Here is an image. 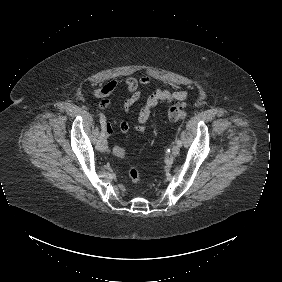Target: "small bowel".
<instances>
[{
  "label": "small bowel",
  "mask_w": 282,
  "mask_h": 282,
  "mask_svg": "<svg viewBox=\"0 0 282 282\" xmlns=\"http://www.w3.org/2000/svg\"><path fill=\"white\" fill-rule=\"evenodd\" d=\"M151 76L141 75L138 77H127L124 79H112L101 88L94 90L92 95L100 99V109H107L111 106L108 97L121 84H123L128 92L129 97L123 102V111L129 113L135 103L139 100L144 86L150 84ZM187 97L185 91L172 90L168 88L159 87L155 89L145 100L137 114V122L134 124V129L138 132L146 130V122L148 121L152 110L160 103H173V105H180ZM114 127H118L122 134H127L130 130V124L125 120H112L104 125V131L107 134L112 133Z\"/></svg>",
  "instance_id": "1"
}]
</instances>
